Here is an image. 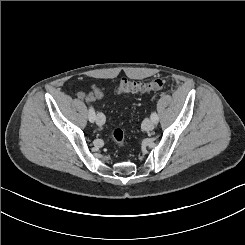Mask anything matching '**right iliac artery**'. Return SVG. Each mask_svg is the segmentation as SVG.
<instances>
[{"mask_svg":"<svg viewBox=\"0 0 245 245\" xmlns=\"http://www.w3.org/2000/svg\"><path fill=\"white\" fill-rule=\"evenodd\" d=\"M88 117H89V121L90 122H94L95 121V111H94V108L92 106L89 107V114H88Z\"/></svg>","mask_w":245,"mask_h":245,"instance_id":"1","label":"right iliac artery"}]
</instances>
